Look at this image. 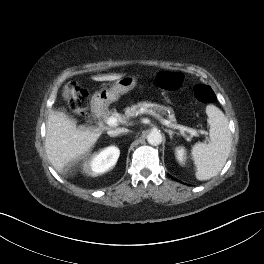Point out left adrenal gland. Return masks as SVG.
Segmentation results:
<instances>
[{"mask_svg": "<svg viewBox=\"0 0 264 264\" xmlns=\"http://www.w3.org/2000/svg\"><path fill=\"white\" fill-rule=\"evenodd\" d=\"M165 131L169 134V136H170L171 139L173 138V134H177V135H179V133L174 132V131L169 130V129H165Z\"/></svg>", "mask_w": 264, "mask_h": 264, "instance_id": "obj_1", "label": "left adrenal gland"}]
</instances>
